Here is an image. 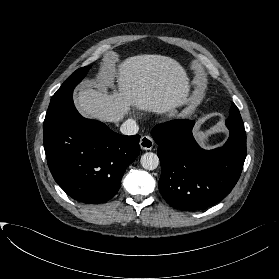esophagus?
I'll use <instances>...</instances> for the list:
<instances>
[{
    "instance_id": "obj_1",
    "label": "esophagus",
    "mask_w": 279,
    "mask_h": 279,
    "mask_svg": "<svg viewBox=\"0 0 279 279\" xmlns=\"http://www.w3.org/2000/svg\"><path fill=\"white\" fill-rule=\"evenodd\" d=\"M140 147L143 150H151L154 146V141L150 136H142L140 139Z\"/></svg>"
}]
</instances>
